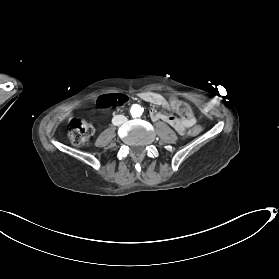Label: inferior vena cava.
<instances>
[{
    "mask_svg": "<svg viewBox=\"0 0 279 279\" xmlns=\"http://www.w3.org/2000/svg\"><path fill=\"white\" fill-rule=\"evenodd\" d=\"M112 120H113L112 123L116 126L124 124L128 121V119L123 115H117V116L114 115V118Z\"/></svg>",
    "mask_w": 279,
    "mask_h": 279,
    "instance_id": "obj_1",
    "label": "inferior vena cava"
}]
</instances>
